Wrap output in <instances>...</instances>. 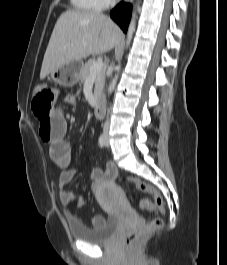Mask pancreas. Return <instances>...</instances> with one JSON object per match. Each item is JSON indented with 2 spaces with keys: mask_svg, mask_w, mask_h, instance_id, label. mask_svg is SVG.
Returning <instances> with one entry per match:
<instances>
[{
  "mask_svg": "<svg viewBox=\"0 0 227 265\" xmlns=\"http://www.w3.org/2000/svg\"><path fill=\"white\" fill-rule=\"evenodd\" d=\"M97 62L95 58L89 59L85 65H83L81 74H80V81L83 83L89 76H90V68L91 66ZM105 85V70L102 68L95 75V88H94V95L97 97L103 90Z\"/></svg>",
  "mask_w": 227,
  "mask_h": 265,
  "instance_id": "1",
  "label": "pancreas"
}]
</instances>
